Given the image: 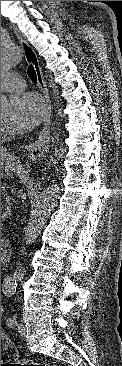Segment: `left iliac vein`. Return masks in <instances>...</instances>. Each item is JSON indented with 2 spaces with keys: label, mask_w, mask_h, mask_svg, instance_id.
<instances>
[{
  "label": "left iliac vein",
  "mask_w": 122,
  "mask_h": 366,
  "mask_svg": "<svg viewBox=\"0 0 122 366\" xmlns=\"http://www.w3.org/2000/svg\"><path fill=\"white\" fill-rule=\"evenodd\" d=\"M17 330L18 332L21 334V335H24L25 334V331H26V328L24 326L23 323H18L17 324Z\"/></svg>",
  "instance_id": "1"
}]
</instances>
